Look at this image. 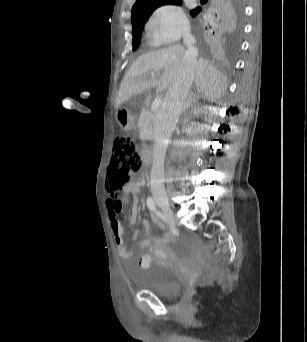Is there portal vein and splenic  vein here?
Masks as SVG:
<instances>
[{
	"label": "portal vein and splenic vein",
	"instance_id": "1",
	"mask_svg": "<svg viewBox=\"0 0 307 342\" xmlns=\"http://www.w3.org/2000/svg\"><path fill=\"white\" fill-rule=\"evenodd\" d=\"M151 76H155V74H151ZM163 99V96L161 94H158L156 98L153 99L152 102L149 103L150 109H159L160 108V102Z\"/></svg>",
	"mask_w": 307,
	"mask_h": 342
}]
</instances>
